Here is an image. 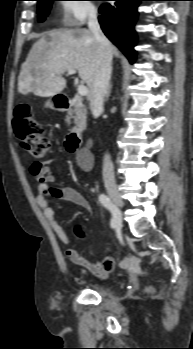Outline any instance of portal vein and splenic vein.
Instances as JSON below:
<instances>
[{"label": "portal vein and splenic vein", "instance_id": "1", "mask_svg": "<svg viewBox=\"0 0 193 349\" xmlns=\"http://www.w3.org/2000/svg\"><path fill=\"white\" fill-rule=\"evenodd\" d=\"M68 74L72 75L76 73L75 69H70L67 71ZM78 94L81 96L87 95L88 94V88L85 85H78Z\"/></svg>", "mask_w": 193, "mask_h": 349}]
</instances>
